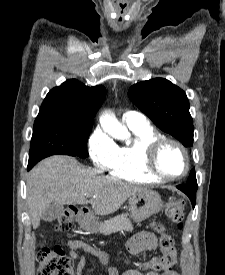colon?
<instances>
[{"mask_svg": "<svg viewBox=\"0 0 225 275\" xmlns=\"http://www.w3.org/2000/svg\"><path fill=\"white\" fill-rule=\"evenodd\" d=\"M185 203L181 199L170 200L165 205L167 218L182 227ZM77 215V209L68 207L55 221V228L61 231H68L73 226V221ZM156 230L160 234V245L162 255L152 259L144 265L156 271H169L176 261V250L173 238L167 234L162 226H157ZM38 275H74L73 263L64 250L59 247H42L38 251Z\"/></svg>", "mask_w": 225, "mask_h": 275, "instance_id": "obj_1", "label": "colon"}]
</instances>
